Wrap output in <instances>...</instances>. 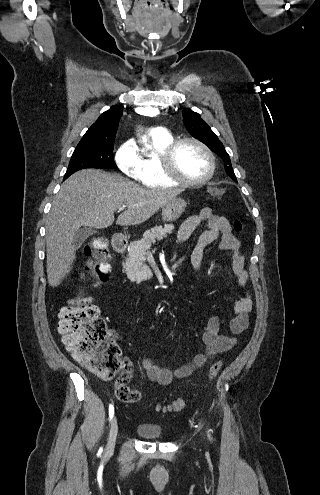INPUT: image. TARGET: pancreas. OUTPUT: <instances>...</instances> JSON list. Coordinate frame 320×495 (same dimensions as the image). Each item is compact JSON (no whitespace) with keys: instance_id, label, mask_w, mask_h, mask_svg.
Returning a JSON list of instances; mask_svg holds the SVG:
<instances>
[{"instance_id":"pancreas-1","label":"pancreas","mask_w":320,"mask_h":495,"mask_svg":"<svg viewBox=\"0 0 320 495\" xmlns=\"http://www.w3.org/2000/svg\"><path fill=\"white\" fill-rule=\"evenodd\" d=\"M173 229V224H165L163 227L156 226L147 230L141 240L133 241L129 244L128 256L122 266L123 272L126 273L131 282L139 283L142 281L141 271L148 268L144 264L146 251L150 249L156 240H162L168 233H172Z\"/></svg>"}]
</instances>
